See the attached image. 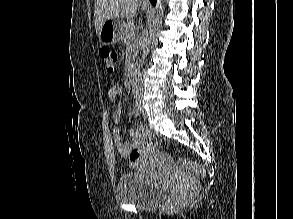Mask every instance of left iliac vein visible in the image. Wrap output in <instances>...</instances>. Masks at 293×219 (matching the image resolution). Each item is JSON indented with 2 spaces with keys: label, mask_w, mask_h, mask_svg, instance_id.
Returning a JSON list of instances; mask_svg holds the SVG:
<instances>
[{
  "label": "left iliac vein",
  "mask_w": 293,
  "mask_h": 219,
  "mask_svg": "<svg viewBox=\"0 0 293 219\" xmlns=\"http://www.w3.org/2000/svg\"><path fill=\"white\" fill-rule=\"evenodd\" d=\"M139 105H140V108H141V114H142V116L144 118H147V112H146V110L143 107L142 100L139 101Z\"/></svg>",
  "instance_id": "left-iliac-vein-1"
}]
</instances>
